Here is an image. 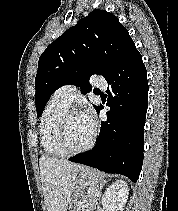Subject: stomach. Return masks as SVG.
I'll return each mask as SVG.
<instances>
[{"label":"stomach","instance_id":"obj_1","mask_svg":"<svg viewBox=\"0 0 178 211\" xmlns=\"http://www.w3.org/2000/svg\"><path fill=\"white\" fill-rule=\"evenodd\" d=\"M100 181V173L92 168H83L78 176L77 185L71 198V209H75V203L81 195L90 189H95ZM74 204V206H73Z\"/></svg>","mask_w":178,"mask_h":211}]
</instances>
